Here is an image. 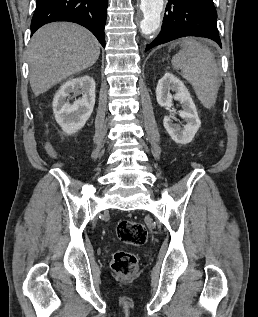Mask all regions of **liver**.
<instances>
[{
	"mask_svg": "<svg viewBox=\"0 0 258 317\" xmlns=\"http://www.w3.org/2000/svg\"><path fill=\"white\" fill-rule=\"evenodd\" d=\"M100 44L87 28L73 22H50L34 32L28 44L30 84L35 94L96 62Z\"/></svg>",
	"mask_w": 258,
	"mask_h": 317,
	"instance_id": "obj_1",
	"label": "liver"
}]
</instances>
